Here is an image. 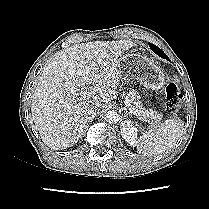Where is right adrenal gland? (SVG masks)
<instances>
[{"instance_id": "right-adrenal-gland-1", "label": "right adrenal gland", "mask_w": 209, "mask_h": 209, "mask_svg": "<svg viewBox=\"0 0 209 209\" xmlns=\"http://www.w3.org/2000/svg\"><path fill=\"white\" fill-rule=\"evenodd\" d=\"M94 117H89L88 118V121H87V125L89 126V123L91 122V120L93 119ZM87 125L85 126V128H84V131H85V129L87 128Z\"/></svg>"}]
</instances>
